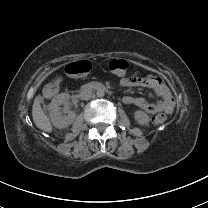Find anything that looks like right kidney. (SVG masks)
<instances>
[{
    "label": "right kidney",
    "mask_w": 208,
    "mask_h": 208,
    "mask_svg": "<svg viewBox=\"0 0 208 208\" xmlns=\"http://www.w3.org/2000/svg\"><path fill=\"white\" fill-rule=\"evenodd\" d=\"M69 99L68 93H60L50 103V118L53 125L58 129L66 128L75 121L76 114L69 110ZM61 105H64L63 112L68 113L67 116L62 115Z\"/></svg>",
    "instance_id": "right-kidney-1"
}]
</instances>
